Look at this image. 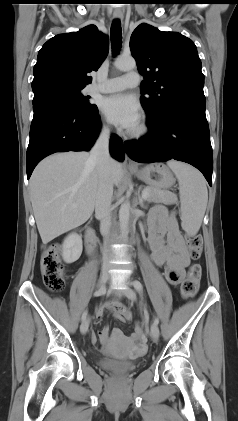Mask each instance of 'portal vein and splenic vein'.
I'll list each match as a JSON object with an SVG mask.
<instances>
[{
	"label": "portal vein and splenic vein",
	"mask_w": 238,
	"mask_h": 421,
	"mask_svg": "<svg viewBox=\"0 0 238 421\" xmlns=\"http://www.w3.org/2000/svg\"><path fill=\"white\" fill-rule=\"evenodd\" d=\"M148 196H149V191H148V190H144V191L142 192V198H143L144 200H146V199L148 198Z\"/></svg>",
	"instance_id": "portal-vein-and-splenic-vein-1"
}]
</instances>
